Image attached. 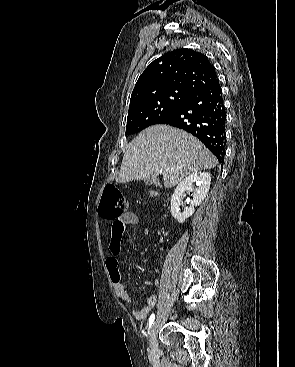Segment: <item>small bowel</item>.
<instances>
[{
	"label": "small bowel",
	"instance_id": "small-bowel-1",
	"mask_svg": "<svg viewBox=\"0 0 295 367\" xmlns=\"http://www.w3.org/2000/svg\"><path fill=\"white\" fill-rule=\"evenodd\" d=\"M139 223V217L134 212H126L122 215L119 221L112 222L111 226V238L109 244L110 255L106 259V268L109 271L115 293L117 297L127 305H132L134 303L132 297L126 290L121 272L118 267V255L121 250V243L123 239V235L126 227L134 226ZM149 233V228H145V234ZM145 285H159V280L155 279L154 281L147 280L145 281ZM157 302V296L151 295L147 298L145 304L137 311L133 312V315L136 319L144 318L155 306Z\"/></svg>",
	"mask_w": 295,
	"mask_h": 367
}]
</instances>
